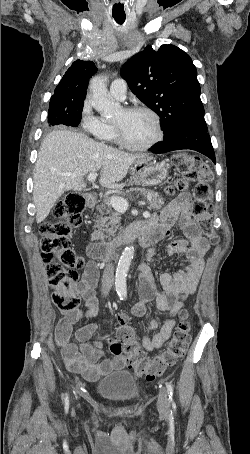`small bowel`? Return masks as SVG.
<instances>
[{
    "mask_svg": "<svg viewBox=\"0 0 250 454\" xmlns=\"http://www.w3.org/2000/svg\"><path fill=\"white\" fill-rule=\"evenodd\" d=\"M176 223L179 224L184 237L171 239L166 250L171 256L180 255L186 267L173 275L161 274L159 278L161 289L151 268L148 265L140 267L141 300L133 307V314L137 317L143 316L147 311L148 303L152 300H155L159 311L169 313V319L154 336L150 333L158 327L157 322L151 320L146 328L142 345L148 352L161 348L168 341L175 327L176 317L184 307L178 297L180 294L188 296L195 292L204 268V254L208 245L191 218L190 196L187 193L180 194L166 206L159 222L150 221L139 228L142 240L158 242L171 238L172 229ZM155 253L156 249H150L148 259L152 260ZM98 279V265L91 261L86 265L81 280L76 286V292L83 298L86 310L66 312L58 321L55 330V343L64 365L69 371L80 374L89 381H96L112 370L121 369L125 365V359L122 356H116L111 360L103 358V339L98 334L96 324H87L74 329L81 319L92 318L98 313L99 304L94 290ZM94 336L95 340L90 344L88 341Z\"/></svg>",
    "mask_w": 250,
    "mask_h": 454,
    "instance_id": "small-bowel-1",
    "label": "small bowel"
}]
</instances>
